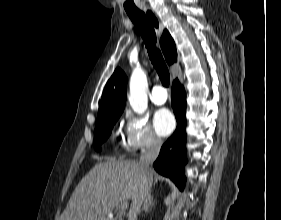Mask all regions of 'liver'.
Here are the masks:
<instances>
[{"mask_svg": "<svg viewBox=\"0 0 281 220\" xmlns=\"http://www.w3.org/2000/svg\"><path fill=\"white\" fill-rule=\"evenodd\" d=\"M135 161L108 160L96 164L79 182L60 220H108L119 205L133 199L143 180Z\"/></svg>", "mask_w": 281, "mask_h": 220, "instance_id": "1", "label": "liver"}]
</instances>
